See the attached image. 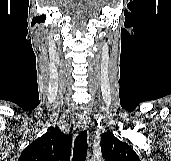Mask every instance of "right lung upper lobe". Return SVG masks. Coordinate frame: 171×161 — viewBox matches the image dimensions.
<instances>
[{"instance_id":"cb5924a9","label":"right lung upper lobe","mask_w":171,"mask_h":161,"mask_svg":"<svg viewBox=\"0 0 171 161\" xmlns=\"http://www.w3.org/2000/svg\"><path fill=\"white\" fill-rule=\"evenodd\" d=\"M72 137L51 128L27 146L18 161H69Z\"/></svg>"}]
</instances>
